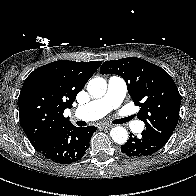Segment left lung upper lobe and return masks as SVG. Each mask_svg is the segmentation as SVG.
Instances as JSON below:
<instances>
[{"label": "left lung upper lobe", "instance_id": "obj_1", "mask_svg": "<svg viewBox=\"0 0 196 196\" xmlns=\"http://www.w3.org/2000/svg\"><path fill=\"white\" fill-rule=\"evenodd\" d=\"M101 74L121 76L135 105L140 106L138 119L144 121V132L166 144L179 119L180 94L171 76L146 60L128 57L105 61Z\"/></svg>", "mask_w": 196, "mask_h": 196}]
</instances>
